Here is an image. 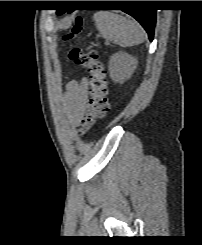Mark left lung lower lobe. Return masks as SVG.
Returning <instances> with one entry per match:
<instances>
[{
    "mask_svg": "<svg viewBox=\"0 0 202 245\" xmlns=\"http://www.w3.org/2000/svg\"><path fill=\"white\" fill-rule=\"evenodd\" d=\"M143 1H129V4L135 6V8H129L127 10H122L127 14L134 17L146 30L150 40L152 41L154 35V28L156 23V10L139 8ZM73 10H68L71 13ZM66 10H57V14L61 15L65 13Z\"/></svg>",
    "mask_w": 202,
    "mask_h": 245,
    "instance_id": "obj_1",
    "label": "left lung lower lobe"
}]
</instances>
